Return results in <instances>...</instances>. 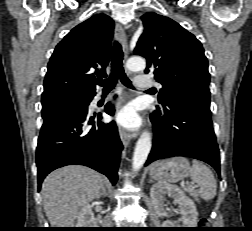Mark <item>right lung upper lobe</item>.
I'll use <instances>...</instances> for the list:
<instances>
[{
    "mask_svg": "<svg viewBox=\"0 0 252 231\" xmlns=\"http://www.w3.org/2000/svg\"><path fill=\"white\" fill-rule=\"evenodd\" d=\"M114 21L97 14L74 27L48 63L42 101L60 96H94L95 75L106 76Z\"/></svg>",
    "mask_w": 252,
    "mask_h": 231,
    "instance_id": "cb5924a9",
    "label": "right lung upper lobe"
}]
</instances>
